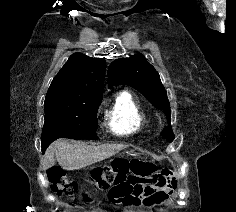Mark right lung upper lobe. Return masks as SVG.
Instances as JSON below:
<instances>
[{
	"mask_svg": "<svg viewBox=\"0 0 236 212\" xmlns=\"http://www.w3.org/2000/svg\"><path fill=\"white\" fill-rule=\"evenodd\" d=\"M106 62L72 54L54 77L45 101L81 102L102 98Z\"/></svg>",
	"mask_w": 236,
	"mask_h": 212,
	"instance_id": "1",
	"label": "right lung upper lobe"
}]
</instances>
